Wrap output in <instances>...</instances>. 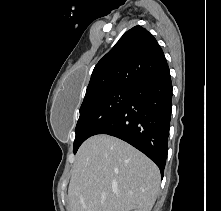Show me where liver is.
I'll return each instance as SVG.
<instances>
[{
	"mask_svg": "<svg viewBox=\"0 0 221 211\" xmlns=\"http://www.w3.org/2000/svg\"><path fill=\"white\" fill-rule=\"evenodd\" d=\"M159 187L160 171L148 157L116 137L95 135L76 155L70 211H151Z\"/></svg>",
	"mask_w": 221,
	"mask_h": 211,
	"instance_id": "1",
	"label": "liver"
}]
</instances>
